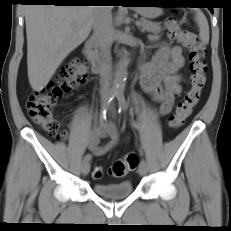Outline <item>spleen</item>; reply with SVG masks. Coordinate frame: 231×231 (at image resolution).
I'll return each mask as SVG.
<instances>
[{"mask_svg":"<svg viewBox=\"0 0 231 231\" xmlns=\"http://www.w3.org/2000/svg\"><path fill=\"white\" fill-rule=\"evenodd\" d=\"M195 20L200 30L199 36H200L202 43L208 44L209 43V25H208V21L206 17L201 11L197 10Z\"/></svg>","mask_w":231,"mask_h":231,"instance_id":"obj_1","label":"spleen"}]
</instances>
